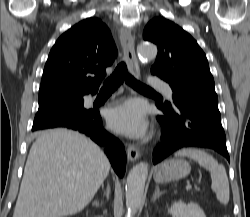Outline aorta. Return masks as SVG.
Segmentation results:
<instances>
[{
  "label": "aorta",
  "mask_w": 250,
  "mask_h": 217,
  "mask_svg": "<svg viewBox=\"0 0 250 217\" xmlns=\"http://www.w3.org/2000/svg\"><path fill=\"white\" fill-rule=\"evenodd\" d=\"M139 59L144 63L156 58L157 48L151 43H142L137 47ZM148 175V164L141 162L129 172L126 182V207L131 214H135L141 204L145 182Z\"/></svg>",
  "instance_id": "1"
}]
</instances>
